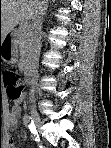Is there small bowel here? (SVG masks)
Returning <instances> with one entry per match:
<instances>
[{
    "label": "small bowel",
    "instance_id": "1",
    "mask_svg": "<svg viewBox=\"0 0 111 148\" xmlns=\"http://www.w3.org/2000/svg\"><path fill=\"white\" fill-rule=\"evenodd\" d=\"M21 109L18 104L14 105L10 112L8 113V123L10 126H14L18 122V118L20 116ZM7 147H14V143L12 139L8 140Z\"/></svg>",
    "mask_w": 111,
    "mask_h": 148
}]
</instances>
